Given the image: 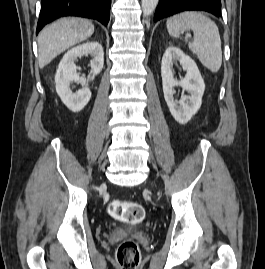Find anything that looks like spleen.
<instances>
[{
  "instance_id": "obj_1",
  "label": "spleen",
  "mask_w": 265,
  "mask_h": 269,
  "mask_svg": "<svg viewBox=\"0 0 265 269\" xmlns=\"http://www.w3.org/2000/svg\"><path fill=\"white\" fill-rule=\"evenodd\" d=\"M166 25L169 35L174 38L192 30L194 40L188 43L189 49L212 73L219 71L222 64L221 39L214 21L201 12L185 11L167 19Z\"/></svg>"
}]
</instances>
